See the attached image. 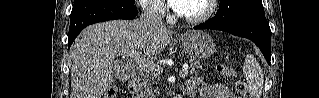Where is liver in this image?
Listing matches in <instances>:
<instances>
[{"instance_id":"1","label":"liver","mask_w":319,"mask_h":98,"mask_svg":"<svg viewBox=\"0 0 319 98\" xmlns=\"http://www.w3.org/2000/svg\"><path fill=\"white\" fill-rule=\"evenodd\" d=\"M170 35L166 28L145 27L138 19L88 26L71 47V98H102L118 73V51L141 50L155 57Z\"/></svg>"}]
</instances>
